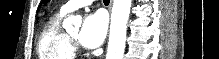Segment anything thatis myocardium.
<instances>
[{"label": "myocardium", "instance_id": "f54148a6", "mask_svg": "<svg viewBox=\"0 0 219 59\" xmlns=\"http://www.w3.org/2000/svg\"><path fill=\"white\" fill-rule=\"evenodd\" d=\"M68 36V39H69V42L72 46L73 49H78L79 48V44H78V41L77 39L73 38L72 36L70 35H67Z\"/></svg>", "mask_w": 219, "mask_h": 59}]
</instances>
